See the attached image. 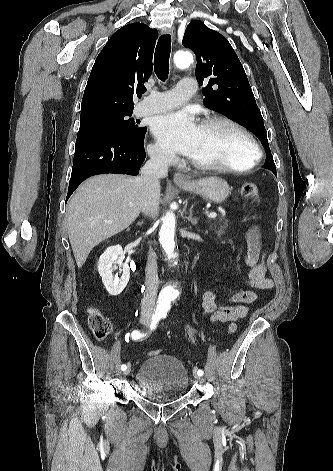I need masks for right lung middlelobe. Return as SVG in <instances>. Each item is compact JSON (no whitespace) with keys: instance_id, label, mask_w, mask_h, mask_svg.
<instances>
[{"instance_id":"obj_1","label":"right lung middle lobe","mask_w":333,"mask_h":471,"mask_svg":"<svg viewBox=\"0 0 333 471\" xmlns=\"http://www.w3.org/2000/svg\"><path fill=\"white\" fill-rule=\"evenodd\" d=\"M133 110L111 112L97 116L80 119V129L78 133L91 131H111L132 139H141L146 127H139L137 121L131 118Z\"/></svg>"}]
</instances>
